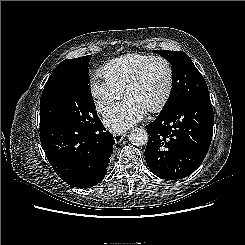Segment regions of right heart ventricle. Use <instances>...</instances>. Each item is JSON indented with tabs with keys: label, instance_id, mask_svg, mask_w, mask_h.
Returning a JSON list of instances; mask_svg holds the SVG:
<instances>
[{
	"label": "right heart ventricle",
	"instance_id": "1",
	"mask_svg": "<svg viewBox=\"0 0 245 245\" xmlns=\"http://www.w3.org/2000/svg\"><path fill=\"white\" fill-rule=\"evenodd\" d=\"M148 57L149 55L146 54L132 53L112 59L102 67V73L113 85L123 90L138 67Z\"/></svg>",
	"mask_w": 245,
	"mask_h": 245
}]
</instances>
